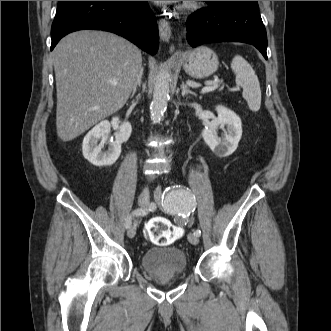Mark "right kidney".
Returning <instances> with one entry per match:
<instances>
[{"instance_id":"ca27d5eb","label":"right kidney","mask_w":331,"mask_h":331,"mask_svg":"<svg viewBox=\"0 0 331 331\" xmlns=\"http://www.w3.org/2000/svg\"><path fill=\"white\" fill-rule=\"evenodd\" d=\"M111 126L117 130L115 141L110 142L108 150L103 151L104 142L99 143V141L109 134ZM131 132L132 127L129 122L120 124L118 118H113L111 122L101 121L84 137L82 144L83 156L95 166H111L119 158L121 144L129 139Z\"/></svg>"}]
</instances>
